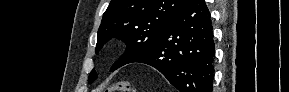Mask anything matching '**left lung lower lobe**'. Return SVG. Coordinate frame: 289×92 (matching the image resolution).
<instances>
[{
	"label": "left lung lower lobe",
	"mask_w": 289,
	"mask_h": 92,
	"mask_svg": "<svg viewBox=\"0 0 289 92\" xmlns=\"http://www.w3.org/2000/svg\"><path fill=\"white\" fill-rule=\"evenodd\" d=\"M214 53L209 9L204 0H188L155 45L132 62L156 68L180 92H212Z\"/></svg>",
	"instance_id": "1"
}]
</instances>
